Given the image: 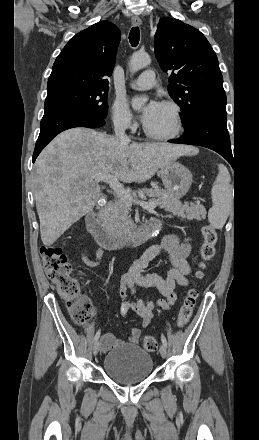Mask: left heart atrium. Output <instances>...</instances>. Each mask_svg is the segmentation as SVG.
<instances>
[{
	"mask_svg": "<svg viewBox=\"0 0 259 440\" xmlns=\"http://www.w3.org/2000/svg\"><path fill=\"white\" fill-rule=\"evenodd\" d=\"M160 106L161 104L156 100H151L146 104L141 113V120L145 125L148 124L157 114Z\"/></svg>",
	"mask_w": 259,
	"mask_h": 440,
	"instance_id": "1",
	"label": "left heart atrium"
}]
</instances>
